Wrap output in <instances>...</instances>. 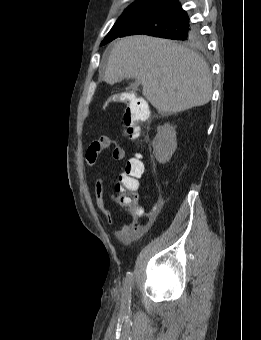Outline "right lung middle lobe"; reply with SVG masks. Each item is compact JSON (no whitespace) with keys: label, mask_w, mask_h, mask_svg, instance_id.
I'll list each match as a JSON object with an SVG mask.
<instances>
[{"label":"right lung middle lobe","mask_w":261,"mask_h":340,"mask_svg":"<svg viewBox=\"0 0 261 340\" xmlns=\"http://www.w3.org/2000/svg\"><path fill=\"white\" fill-rule=\"evenodd\" d=\"M158 4L159 3L154 2H139L131 4L116 21L108 35L102 41L101 45H104L119 37V35H121L129 27H131L145 14L154 9ZM171 39L180 40L194 46H200L202 44V39L199 35V31L194 25H192V27L186 31L174 34Z\"/></svg>","instance_id":"right-lung-middle-lobe-1"}]
</instances>
